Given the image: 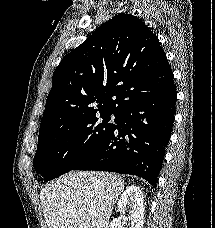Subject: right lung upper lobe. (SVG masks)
<instances>
[{
  "mask_svg": "<svg viewBox=\"0 0 215 228\" xmlns=\"http://www.w3.org/2000/svg\"><path fill=\"white\" fill-rule=\"evenodd\" d=\"M171 76L157 36L139 18L115 15L54 71L40 129L98 113H117Z\"/></svg>",
  "mask_w": 215,
  "mask_h": 228,
  "instance_id": "1",
  "label": "right lung upper lobe"
}]
</instances>
